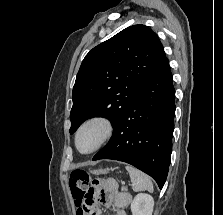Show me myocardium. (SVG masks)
<instances>
[{
  "mask_svg": "<svg viewBox=\"0 0 223 215\" xmlns=\"http://www.w3.org/2000/svg\"><path fill=\"white\" fill-rule=\"evenodd\" d=\"M87 128H95L99 132V137L97 142L88 150H81L78 145V139L81 132ZM114 132V126L112 122L104 116H94L84 122H82L77 128L74 136V143L77 151L83 155H89L98 151L103 147L112 137Z\"/></svg>",
  "mask_w": 223,
  "mask_h": 215,
  "instance_id": "1",
  "label": "myocardium"
}]
</instances>
